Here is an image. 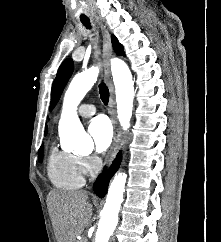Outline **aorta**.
I'll use <instances>...</instances> for the list:
<instances>
[{
  "label": "aorta",
  "mask_w": 221,
  "mask_h": 242,
  "mask_svg": "<svg viewBox=\"0 0 221 242\" xmlns=\"http://www.w3.org/2000/svg\"><path fill=\"white\" fill-rule=\"evenodd\" d=\"M111 72L115 85L118 118L123 129L127 130L130 126L133 110L134 83L132 74L127 64L117 58L111 60ZM98 74L99 68L95 66L77 74L64 96L59 133L66 142L68 150H74L77 153L86 152L93 147L91 137L85 132L78 118L77 107L96 82ZM125 183V174L118 173L114 176L101 212L95 242L109 241L118 223Z\"/></svg>",
  "instance_id": "762f6f07"
}]
</instances>
